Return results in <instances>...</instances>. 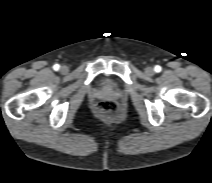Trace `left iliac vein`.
I'll list each match as a JSON object with an SVG mask.
<instances>
[{
	"mask_svg": "<svg viewBox=\"0 0 212 183\" xmlns=\"http://www.w3.org/2000/svg\"><path fill=\"white\" fill-rule=\"evenodd\" d=\"M145 73L148 76H152L154 74V69L152 67L145 68Z\"/></svg>",
	"mask_w": 212,
	"mask_h": 183,
	"instance_id": "1",
	"label": "left iliac vein"
}]
</instances>
